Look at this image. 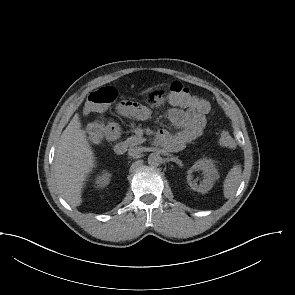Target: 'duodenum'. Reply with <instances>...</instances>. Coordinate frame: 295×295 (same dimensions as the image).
<instances>
[{
  "label": "duodenum",
  "mask_w": 295,
  "mask_h": 295,
  "mask_svg": "<svg viewBox=\"0 0 295 295\" xmlns=\"http://www.w3.org/2000/svg\"><path fill=\"white\" fill-rule=\"evenodd\" d=\"M127 146L124 142H118L114 145V153L121 156L126 153Z\"/></svg>",
  "instance_id": "1"
}]
</instances>
